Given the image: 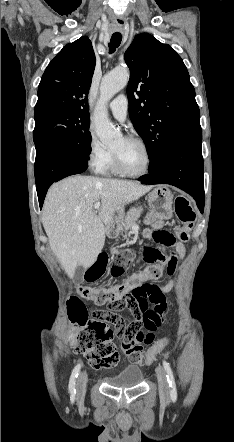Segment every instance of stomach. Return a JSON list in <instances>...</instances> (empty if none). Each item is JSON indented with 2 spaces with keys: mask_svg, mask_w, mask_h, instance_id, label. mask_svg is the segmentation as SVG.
Returning a JSON list of instances; mask_svg holds the SVG:
<instances>
[{
  "mask_svg": "<svg viewBox=\"0 0 234 442\" xmlns=\"http://www.w3.org/2000/svg\"><path fill=\"white\" fill-rule=\"evenodd\" d=\"M151 212L160 220H168L173 216V194L167 186H157L148 194ZM142 210V208L140 207ZM121 227V225H120Z\"/></svg>",
  "mask_w": 234,
  "mask_h": 442,
  "instance_id": "stomach-1",
  "label": "stomach"
}]
</instances>
